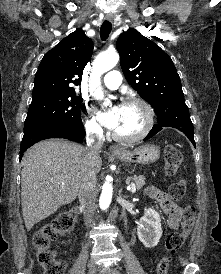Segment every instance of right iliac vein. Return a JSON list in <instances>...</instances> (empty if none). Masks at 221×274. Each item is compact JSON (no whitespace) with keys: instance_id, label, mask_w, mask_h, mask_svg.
Wrapping results in <instances>:
<instances>
[{"instance_id":"right-iliac-vein-1","label":"right iliac vein","mask_w":221,"mask_h":274,"mask_svg":"<svg viewBox=\"0 0 221 274\" xmlns=\"http://www.w3.org/2000/svg\"><path fill=\"white\" fill-rule=\"evenodd\" d=\"M95 272H96L95 268H94V267H91V268L89 269V273H88V274H95Z\"/></svg>"}]
</instances>
